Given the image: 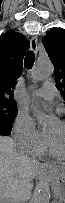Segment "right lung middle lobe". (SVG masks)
Here are the masks:
<instances>
[{
    "label": "right lung middle lobe",
    "instance_id": "1",
    "mask_svg": "<svg viewBox=\"0 0 65 203\" xmlns=\"http://www.w3.org/2000/svg\"><path fill=\"white\" fill-rule=\"evenodd\" d=\"M17 113L14 102L0 101V130L10 134Z\"/></svg>",
    "mask_w": 65,
    "mask_h": 203
}]
</instances>
